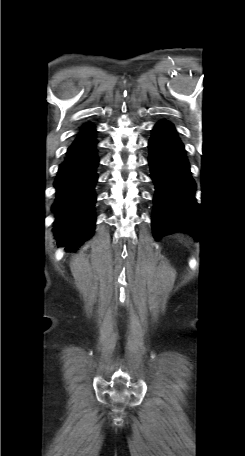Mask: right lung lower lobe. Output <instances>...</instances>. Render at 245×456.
I'll return each instance as SVG.
<instances>
[{
  "label": "right lung lower lobe",
  "instance_id": "right-lung-lower-lobe-1",
  "mask_svg": "<svg viewBox=\"0 0 245 456\" xmlns=\"http://www.w3.org/2000/svg\"><path fill=\"white\" fill-rule=\"evenodd\" d=\"M97 141L94 137L73 143L60 165L55 188V239L58 246L76 249L92 236L95 226L94 186L97 182Z\"/></svg>",
  "mask_w": 245,
  "mask_h": 456
}]
</instances>
